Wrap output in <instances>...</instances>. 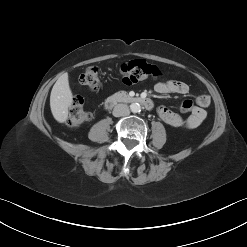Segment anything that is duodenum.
Segmentation results:
<instances>
[{"mask_svg":"<svg viewBox=\"0 0 247 247\" xmlns=\"http://www.w3.org/2000/svg\"><path fill=\"white\" fill-rule=\"evenodd\" d=\"M121 102L138 103L149 110L153 108V103L150 99L142 98V97L127 96L123 93H116L108 97L105 101V106L107 108H111Z\"/></svg>","mask_w":247,"mask_h":247,"instance_id":"1","label":"duodenum"}]
</instances>
